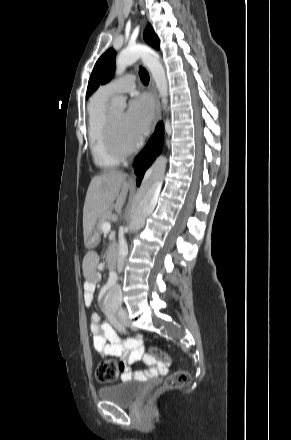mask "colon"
<instances>
[{
	"instance_id": "1",
	"label": "colon",
	"mask_w": 291,
	"mask_h": 440,
	"mask_svg": "<svg viewBox=\"0 0 291 440\" xmlns=\"http://www.w3.org/2000/svg\"><path fill=\"white\" fill-rule=\"evenodd\" d=\"M147 358L155 359L156 357L167 359V356L160 350L152 348L149 353L146 354ZM119 368L112 360H107L99 364L95 370L96 378L99 382L107 383L117 379ZM190 382V374L188 371L179 370L175 371L168 378L165 388L172 390L186 386Z\"/></svg>"
}]
</instances>
